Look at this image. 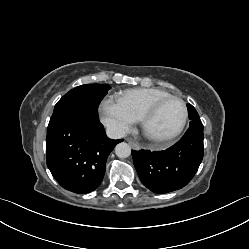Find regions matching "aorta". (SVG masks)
Wrapping results in <instances>:
<instances>
[{"instance_id":"1","label":"aorta","mask_w":249,"mask_h":249,"mask_svg":"<svg viewBox=\"0 0 249 249\" xmlns=\"http://www.w3.org/2000/svg\"><path fill=\"white\" fill-rule=\"evenodd\" d=\"M115 154L119 158H127L131 154V147L127 143L121 142L116 145Z\"/></svg>"}]
</instances>
